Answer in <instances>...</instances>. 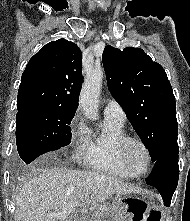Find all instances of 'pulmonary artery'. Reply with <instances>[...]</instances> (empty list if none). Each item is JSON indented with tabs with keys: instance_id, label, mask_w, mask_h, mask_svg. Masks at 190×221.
Returning a JSON list of instances; mask_svg holds the SVG:
<instances>
[{
	"instance_id": "e3ab8cb5",
	"label": "pulmonary artery",
	"mask_w": 190,
	"mask_h": 221,
	"mask_svg": "<svg viewBox=\"0 0 190 221\" xmlns=\"http://www.w3.org/2000/svg\"><path fill=\"white\" fill-rule=\"evenodd\" d=\"M104 117L120 122H125L126 114L122 107L113 99L107 101L104 108Z\"/></svg>"
}]
</instances>
